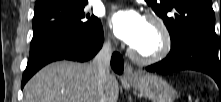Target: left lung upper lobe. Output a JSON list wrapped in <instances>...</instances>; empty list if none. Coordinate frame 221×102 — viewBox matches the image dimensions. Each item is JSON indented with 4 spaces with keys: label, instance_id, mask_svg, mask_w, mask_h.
<instances>
[{
    "label": "left lung upper lobe",
    "instance_id": "obj_1",
    "mask_svg": "<svg viewBox=\"0 0 221 102\" xmlns=\"http://www.w3.org/2000/svg\"><path fill=\"white\" fill-rule=\"evenodd\" d=\"M163 19L171 37V46L184 39L202 40L218 51L215 14L211 0H147ZM221 48V41H220Z\"/></svg>",
    "mask_w": 221,
    "mask_h": 102
}]
</instances>
